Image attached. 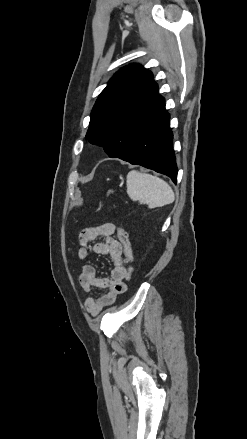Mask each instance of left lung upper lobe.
Here are the masks:
<instances>
[{
	"instance_id": "5c2ea615",
	"label": "left lung upper lobe",
	"mask_w": 247,
	"mask_h": 439,
	"mask_svg": "<svg viewBox=\"0 0 247 439\" xmlns=\"http://www.w3.org/2000/svg\"><path fill=\"white\" fill-rule=\"evenodd\" d=\"M153 75L137 64L122 68L99 95L86 138L122 159L142 126L163 106Z\"/></svg>"
}]
</instances>
